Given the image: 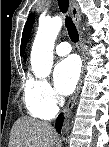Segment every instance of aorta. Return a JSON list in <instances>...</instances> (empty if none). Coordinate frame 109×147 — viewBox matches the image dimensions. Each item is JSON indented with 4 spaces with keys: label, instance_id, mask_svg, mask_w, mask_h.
Masks as SVG:
<instances>
[{
    "label": "aorta",
    "instance_id": "aorta-1",
    "mask_svg": "<svg viewBox=\"0 0 109 147\" xmlns=\"http://www.w3.org/2000/svg\"><path fill=\"white\" fill-rule=\"evenodd\" d=\"M61 27L60 16L39 21L30 58L32 71L37 78H46L51 72L54 43Z\"/></svg>",
    "mask_w": 109,
    "mask_h": 147
}]
</instances>
